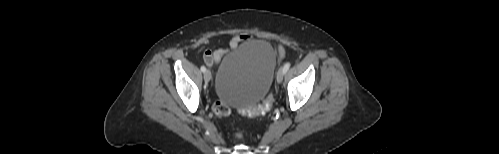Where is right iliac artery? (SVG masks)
<instances>
[{
    "mask_svg": "<svg viewBox=\"0 0 499 154\" xmlns=\"http://www.w3.org/2000/svg\"><path fill=\"white\" fill-rule=\"evenodd\" d=\"M206 68L204 66H201V71L205 72Z\"/></svg>",
    "mask_w": 499,
    "mask_h": 154,
    "instance_id": "82829eb1",
    "label": "right iliac artery"
}]
</instances>
